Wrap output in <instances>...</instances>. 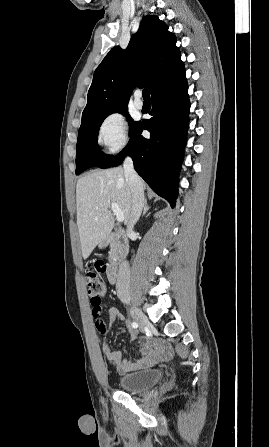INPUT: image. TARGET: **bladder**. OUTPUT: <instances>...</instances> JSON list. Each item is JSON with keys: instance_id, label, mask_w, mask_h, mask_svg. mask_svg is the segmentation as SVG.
Returning <instances> with one entry per match:
<instances>
[{"instance_id": "bladder-1", "label": "bladder", "mask_w": 269, "mask_h": 447, "mask_svg": "<svg viewBox=\"0 0 269 447\" xmlns=\"http://www.w3.org/2000/svg\"><path fill=\"white\" fill-rule=\"evenodd\" d=\"M165 379L166 374L161 369L153 368L119 376L117 384L120 391L132 393L151 388Z\"/></svg>"}]
</instances>
